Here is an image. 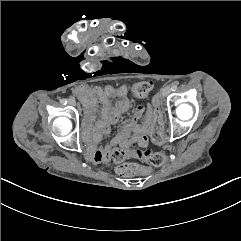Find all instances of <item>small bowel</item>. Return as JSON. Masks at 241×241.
Segmentation results:
<instances>
[{
	"label": "small bowel",
	"mask_w": 241,
	"mask_h": 241,
	"mask_svg": "<svg viewBox=\"0 0 241 241\" xmlns=\"http://www.w3.org/2000/svg\"><path fill=\"white\" fill-rule=\"evenodd\" d=\"M129 87V85L105 88L80 86L74 90V94L82 101L86 109V126L83 134L88 138L90 147H96L101 137L110 133L111 126L118 121L120 115L129 109ZM97 102L102 105L101 118L95 122ZM152 119L153 109L149 106L138 105L135 109L134 121L124 125L104 147L88 154V159L99 164L111 158V151L114 147L129 150L139 145L147 146Z\"/></svg>",
	"instance_id": "small-bowel-1"
}]
</instances>
